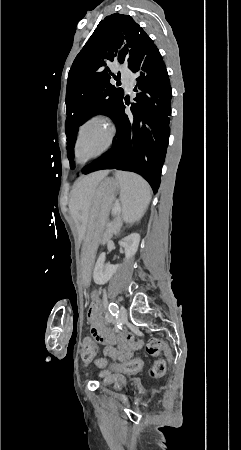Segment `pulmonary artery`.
<instances>
[{
    "instance_id": "1",
    "label": "pulmonary artery",
    "mask_w": 241,
    "mask_h": 450,
    "mask_svg": "<svg viewBox=\"0 0 241 450\" xmlns=\"http://www.w3.org/2000/svg\"><path fill=\"white\" fill-rule=\"evenodd\" d=\"M134 77V71H121V74L119 75V84H124V87L128 89L126 91L128 94L131 92L129 89L133 86L132 81L134 80Z\"/></svg>"
}]
</instances>
